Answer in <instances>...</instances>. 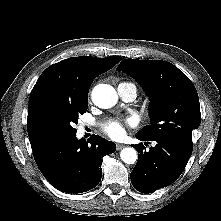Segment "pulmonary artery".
<instances>
[{"label": "pulmonary artery", "instance_id": "pulmonary-artery-1", "mask_svg": "<svg viewBox=\"0 0 221 221\" xmlns=\"http://www.w3.org/2000/svg\"><path fill=\"white\" fill-rule=\"evenodd\" d=\"M118 94L126 102L133 101L136 98V87L131 83H121L118 85Z\"/></svg>", "mask_w": 221, "mask_h": 221}]
</instances>
